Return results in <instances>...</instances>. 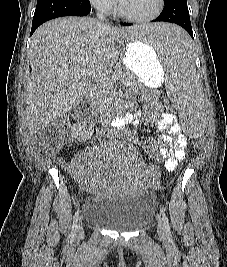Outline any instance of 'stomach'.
<instances>
[{
    "mask_svg": "<svg viewBox=\"0 0 227 267\" xmlns=\"http://www.w3.org/2000/svg\"><path fill=\"white\" fill-rule=\"evenodd\" d=\"M122 60L145 86L157 87L162 83L167 63L158 59L155 47H146V43H129L127 40Z\"/></svg>",
    "mask_w": 227,
    "mask_h": 267,
    "instance_id": "0dacf381",
    "label": "stomach"
}]
</instances>
